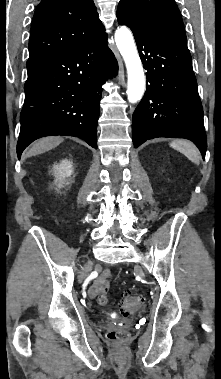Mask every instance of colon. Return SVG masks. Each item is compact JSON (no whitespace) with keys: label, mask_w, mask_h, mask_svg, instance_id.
Instances as JSON below:
<instances>
[{"label":"colon","mask_w":221,"mask_h":379,"mask_svg":"<svg viewBox=\"0 0 221 379\" xmlns=\"http://www.w3.org/2000/svg\"><path fill=\"white\" fill-rule=\"evenodd\" d=\"M100 285V295L98 296V303L100 305H105L108 301L107 291H108V281L106 279H102L99 283ZM143 296L127 292L123 295L121 302L119 303V308L122 314L128 315L131 312L136 311L141 304L143 303ZM107 338L110 341L121 343L128 339V333L125 330L111 328L107 331Z\"/></svg>","instance_id":"colon-1"}]
</instances>
